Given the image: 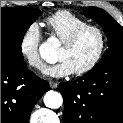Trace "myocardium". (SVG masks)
<instances>
[{"mask_svg": "<svg viewBox=\"0 0 123 123\" xmlns=\"http://www.w3.org/2000/svg\"><path fill=\"white\" fill-rule=\"evenodd\" d=\"M88 31H94L98 34L99 48H98L94 58L91 60V62L88 65H86L85 67H83L79 70L74 71V73L76 75L86 74V73L90 72L91 70H93L97 66V64L100 62V60L104 54L105 48H106V35H105L103 29L100 28L99 26L89 24V25H86V26L81 27V28L77 29L76 31H74L67 39H65L62 42V45H61L65 48L72 47L79 40V38Z\"/></svg>", "mask_w": 123, "mask_h": 123, "instance_id": "1", "label": "myocardium"}]
</instances>
